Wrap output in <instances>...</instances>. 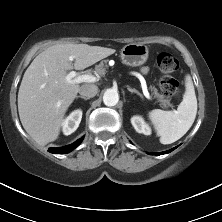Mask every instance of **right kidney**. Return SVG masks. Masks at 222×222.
<instances>
[{"label": "right kidney", "mask_w": 222, "mask_h": 222, "mask_svg": "<svg viewBox=\"0 0 222 222\" xmlns=\"http://www.w3.org/2000/svg\"><path fill=\"white\" fill-rule=\"evenodd\" d=\"M82 119V111H73L65 120L62 122V128L64 135H70L77 130Z\"/></svg>", "instance_id": "1"}]
</instances>
